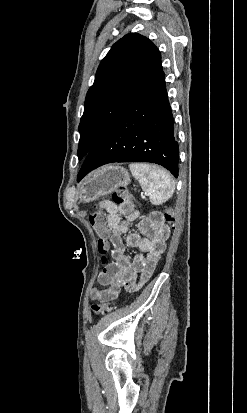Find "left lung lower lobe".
I'll use <instances>...</instances> for the list:
<instances>
[{"label":"left lung lower lobe","mask_w":247,"mask_h":413,"mask_svg":"<svg viewBox=\"0 0 247 413\" xmlns=\"http://www.w3.org/2000/svg\"><path fill=\"white\" fill-rule=\"evenodd\" d=\"M173 125L161 69L85 156L77 180L113 162L156 163L178 177L179 147Z\"/></svg>","instance_id":"0a47b994"}]
</instances>
